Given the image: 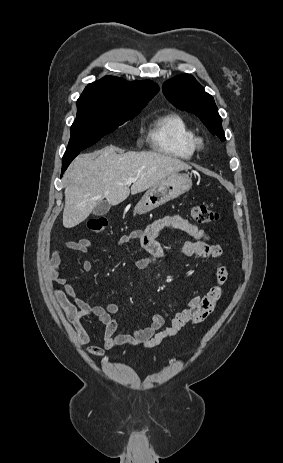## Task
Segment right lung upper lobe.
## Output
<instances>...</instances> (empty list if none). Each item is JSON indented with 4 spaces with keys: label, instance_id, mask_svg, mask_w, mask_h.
Segmentation results:
<instances>
[{
    "label": "right lung upper lobe",
    "instance_id": "obj_1",
    "mask_svg": "<svg viewBox=\"0 0 283 463\" xmlns=\"http://www.w3.org/2000/svg\"><path fill=\"white\" fill-rule=\"evenodd\" d=\"M158 90V85L149 80L127 82L117 77L105 76L89 84L80 97L129 104H147Z\"/></svg>",
    "mask_w": 283,
    "mask_h": 463
}]
</instances>
